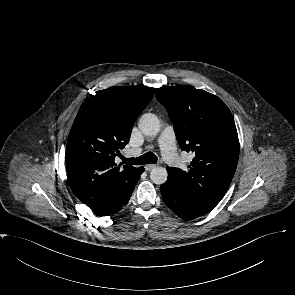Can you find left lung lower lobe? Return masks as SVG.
I'll return each mask as SVG.
<instances>
[{
	"mask_svg": "<svg viewBox=\"0 0 295 295\" xmlns=\"http://www.w3.org/2000/svg\"><path fill=\"white\" fill-rule=\"evenodd\" d=\"M160 190L165 204L182 219L191 220L206 214L194 207L168 179Z\"/></svg>",
	"mask_w": 295,
	"mask_h": 295,
	"instance_id": "0a47b994",
	"label": "left lung lower lobe"
}]
</instances>
